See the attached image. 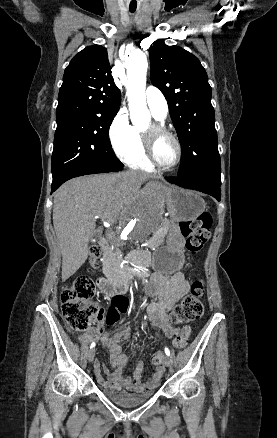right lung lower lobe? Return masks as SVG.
<instances>
[{"label":"right lung lower lobe","mask_w":277,"mask_h":438,"mask_svg":"<svg viewBox=\"0 0 277 438\" xmlns=\"http://www.w3.org/2000/svg\"><path fill=\"white\" fill-rule=\"evenodd\" d=\"M122 169H123V165L122 166H96V167H90V168H85V169H76L74 171L67 173L66 175H64L63 177H61L57 180H53L52 192L55 191L65 181H67L71 178L77 177V176H82V175H87V174H96V173L115 172V171H120Z\"/></svg>","instance_id":"right-lung-lower-lobe-1"}]
</instances>
